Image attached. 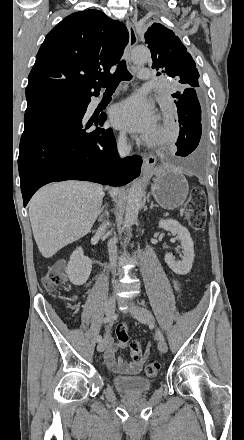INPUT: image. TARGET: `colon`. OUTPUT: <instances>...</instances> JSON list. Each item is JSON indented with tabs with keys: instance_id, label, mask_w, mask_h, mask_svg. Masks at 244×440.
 Instances as JSON below:
<instances>
[{
	"instance_id": "colon-1",
	"label": "colon",
	"mask_w": 244,
	"mask_h": 440,
	"mask_svg": "<svg viewBox=\"0 0 244 440\" xmlns=\"http://www.w3.org/2000/svg\"><path fill=\"white\" fill-rule=\"evenodd\" d=\"M188 220L194 230H201L206 220V201L204 190L200 187L193 189L189 199ZM66 264L59 262L51 266L47 274L43 277L44 287L53 292L62 285ZM116 338L120 348L128 345L129 338L126 334V328L119 324L116 328ZM130 358L133 363H140L143 360V351L140 343H130ZM161 370L160 363L157 361L148 362L144 367V374L147 378H155Z\"/></svg>"
}]
</instances>
